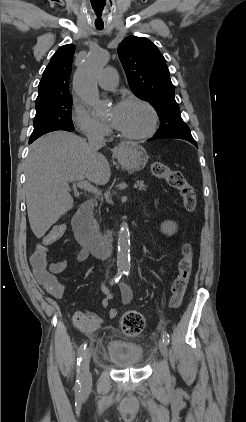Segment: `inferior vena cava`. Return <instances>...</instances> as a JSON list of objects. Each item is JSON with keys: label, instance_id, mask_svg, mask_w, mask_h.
Returning a JSON list of instances; mask_svg holds the SVG:
<instances>
[{"label": "inferior vena cava", "instance_id": "obj_1", "mask_svg": "<svg viewBox=\"0 0 246 422\" xmlns=\"http://www.w3.org/2000/svg\"><path fill=\"white\" fill-rule=\"evenodd\" d=\"M87 138L89 146L95 151L105 145L104 136L100 132L92 131L87 134Z\"/></svg>", "mask_w": 246, "mask_h": 422}]
</instances>
